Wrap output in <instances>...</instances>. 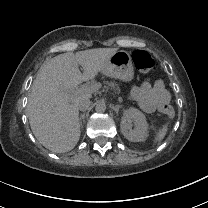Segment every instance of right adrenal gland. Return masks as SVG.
I'll return each mask as SVG.
<instances>
[{
    "label": "right adrenal gland",
    "instance_id": "2a0ac1e0",
    "mask_svg": "<svg viewBox=\"0 0 208 208\" xmlns=\"http://www.w3.org/2000/svg\"><path fill=\"white\" fill-rule=\"evenodd\" d=\"M84 116H85L84 114H81V116H80V118H79L80 123H82V119H84V118H83Z\"/></svg>",
    "mask_w": 208,
    "mask_h": 208
}]
</instances>
